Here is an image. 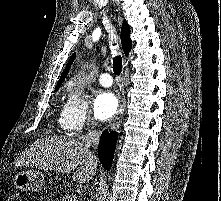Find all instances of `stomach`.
Instances as JSON below:
<instances>
[{"instance_id": "stomach-1", "label": "stomach", "mask_w": 221, "mask_h": 201, "mask_svg": "<svg viewBox=\"0 0 221 201\" xmlns=\"http://www.w3.org/2000/svg\"><path fill=\"white\" fill-rule=\"evenodd\" d=\"M43 184L44 177L36 170L19 171L13 177L14 188L21 192L39 191Z\"/></svg>"}]
</instances>
